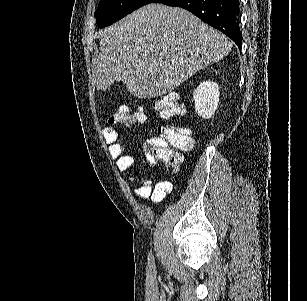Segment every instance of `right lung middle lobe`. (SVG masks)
Returning <instances> with one entry per match:
<instances>
[{"label": "right lung middle lobe", "instance_id": "right-lung-middle-lobe-1", "mask_svg": "<svg viewBox=\"0 0 307 301\" xmlns=\"http://www.w3.org/2000/svg\"><path fill=\"white\" fill-rule=\"evenodd\" d=\"M153 0H100L95 12L97 26L111 25L134 10L151 3Z\"/></svg>", "mask_w": 307, "mask_h": 301}]
</instances>
